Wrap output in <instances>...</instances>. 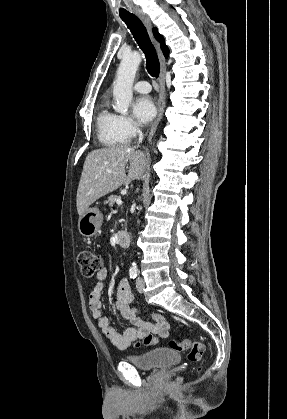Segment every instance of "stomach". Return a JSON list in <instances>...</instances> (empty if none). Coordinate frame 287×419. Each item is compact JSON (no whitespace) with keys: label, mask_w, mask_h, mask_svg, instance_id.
<instances>
[{"label":"stomach","mask_w":287,"mask_h":419,"mask_svg":"<svg viewBox=\"0 0 287 419\" xmlns=\"http://www.w3.org/2000/svg\"><path fill=\"white\" fill-rule=\"evenodd\" d=\"M103 220V215L98 207H90L79 218L78 229L81 235L85 237H92L97 235L100 230Z\"/></svg>","instance_id":"obj_1"}]
</instances>
